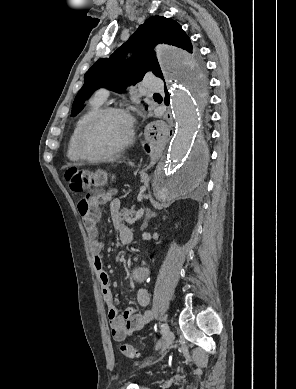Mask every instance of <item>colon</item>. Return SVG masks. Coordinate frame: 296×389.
<instances>
[{
    "label": "colon",
    "mask_w": 296,
    "mask_h": 389,
    "mask_svg": "<svg viewBox=\"0 0 296 389\" xmlns=\"http://www.w3.org/2000/svg\"><path fill=\"white\" fill-rule=\"evenodd\" d=\"M110 175L104 171H90L81 168H70L65 172V180L71 190L76 192L86 191L92 186H102L110 180ZM121 353L128 358L138 357V352L130 344L120 347Z\"/></svg>",
    "instance_id": "colon-1"
}]
</instances>
